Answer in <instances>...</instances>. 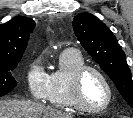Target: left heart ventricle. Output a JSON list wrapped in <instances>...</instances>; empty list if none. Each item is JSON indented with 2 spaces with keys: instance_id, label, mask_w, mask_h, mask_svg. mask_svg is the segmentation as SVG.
Wrapping results in <instances>:
<instances>
[{
  "instance_id": "left-heart-ventricle-1",
  "label": "left heart ventricle",
  "mask_w": 133,
  "mask_h": 118,
  "mask_svg": "<svg viewBox=\"0 0 133 118\" xmlns=\"http://www.w3.org/2000/svg\"><path fill=\"white\" fill-rule=\"evenodd\" d=\"M82 94L85 103L92 108L104 105L108 97L104 81L92 71L88 72L84 77Z\"/></svg>"
}]
</instances>
